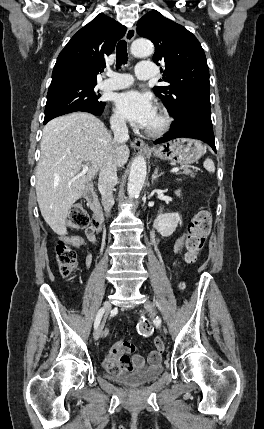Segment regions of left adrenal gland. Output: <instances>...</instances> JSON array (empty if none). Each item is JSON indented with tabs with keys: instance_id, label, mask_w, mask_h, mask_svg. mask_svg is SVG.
I'll return each mask as SVG.
<instances>
[{
	"instance_id": "left-adrenal-gland-1",
	"label": "left adrenal gland",
	"mask_w": 264,
	"mask_h": 429,
	"mask_svg": "<svg viewBox=\"0 0 264 429\" xmlns=\"http://www.w3.org/2000/svg\"><path fill=\"white\" fill-rule=\"evenodd\" d=\"M162 175V173H158V168H155L154 173L152 174V183L154 182V180H156L158 177H160Z\"/></svg>"
}]
</instances>
